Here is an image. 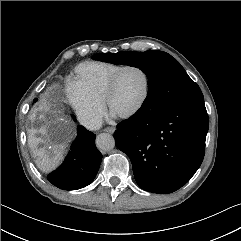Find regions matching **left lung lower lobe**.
I'll use <instances>...</instances> for the list:
<instances>
[{
	"instance_id": "0a47b994",
	"label": "left lung lower lobe",
	"mask_w": 241,
	"mask_h": 241,
	"mask_svg": "<svg viewBox=\"0 0 241 241\" xmlns=\"http://www.w3.org/2000/svg\"><path fill=\"white\" fill-rule=\"evenodd\" d=\"M208 122L204 99L169 104L156 89L136 114L117 125L114 138L131 159L137 184L168 194L185 185L200 167Z\"/></svg>"
}]
</instances>
